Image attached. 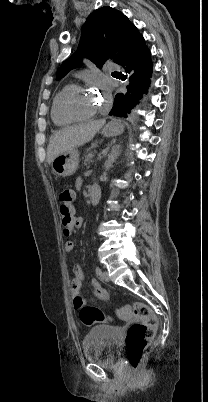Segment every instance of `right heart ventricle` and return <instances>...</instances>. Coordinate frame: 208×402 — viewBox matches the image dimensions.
Returning a JSON list of instances; mask_svg holds the SVG:
<instances>
[{
  "mask_svg": "<svg viewBox=\"0 0 208 402\" xmlns=\"http://www.w3.org/2000/svg\"><path fill=\"white\" fill-rule=\"evenodd\" d=\"M71 86L72 84H67L53 98L51 105V119L57 127H69L84 121L67 116L61 108L62 96Z\"/></svg>",
  "mask_w": 208,
  "mask_h": 402,
  "instance_id": "obj_1",
  "label": "right heart ventricle"
}]
</instances>
